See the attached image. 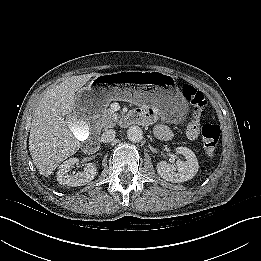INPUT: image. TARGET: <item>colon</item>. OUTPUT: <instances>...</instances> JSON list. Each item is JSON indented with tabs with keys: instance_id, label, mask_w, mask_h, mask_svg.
I'll list each match as a JSON object with an SVG mask.
<instances>
[{
	"instance_id": "5ec220e1",
	"label": "colon",
	"mask_w": 261,
	"mask_h": 261,
	"mask_svg": "<svg viewBox=\"0 0 261 261\" xmlns=\"http://www.w3.org/2000/svg\"><path fill=\"white\" fill-rule=\"evenodd\" d=\"M182 95L192 105V117L187 127V136L190 139H196L201 134L204 151L206 155L212 156L218 146L221 130L218 125L212 123L200 126V118L206 105L205 96L188 84L182 87Z\"/></svg>"
}]
</instances>
